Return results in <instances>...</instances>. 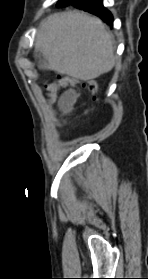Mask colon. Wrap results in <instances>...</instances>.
Wrapping results in <instances>:
<instances>
[{"label": "colon", "instance_id": "1", "mask_svg": "<svg viewBox=\"0 0 148 279\" xmlns=\"http://www.w3.org/2000/svg\"><path fill=\"white\" fill-rule=\"evenodd\" d=\"M86 87L92 92H98V85L94 80L79 81L72 77H61L54 82L45 85L46 95L49 101L57 102L66 92L78 91V87Z\"/></svg>", "mask_w": 148, "mask_h": 279}]
</instances>
